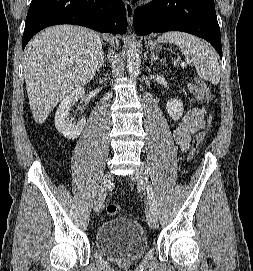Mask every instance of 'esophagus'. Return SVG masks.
Returning a JSON list of instances; mask_svg holds the SVG:
<instances>
[{
	"instance_id": "1",
	"label": "esophagus",
	"mask_w": 253,
	"mask_h": 271,
	"mask_svg": "<svg viewBox=\"0 0 253 271\" xmlns=\"http://www.w3.org/2000/svg\"><path fill=\"white\" fill-rule=\"evenodd\" d=\"M125 10L128 23L131 25L133 21L134 8L132 3L128 0L125 1Z\"/></svg>"
}]
</instances>
